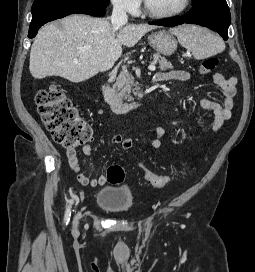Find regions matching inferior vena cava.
Listing matches in <instances>:
<instances>
[{
	"mask_svg": "<svg viewBox=\"0 0 255 272\" xmlns=\"http://www.w3.org/2000/svg\"><path fill=\"white\" fill-rule=\"evenodd\" d=\"M128 21V16L126 14L125 8L117 3L113 6V11L111 15V25L114 29H119L125 25Z\"/></svg>",
	"mask_w": 255,
	"mask_h": 272,
	"instance_id": "inferior-vena-cava-1",
	"label": "inferior vena cava"
}]
</instances>
